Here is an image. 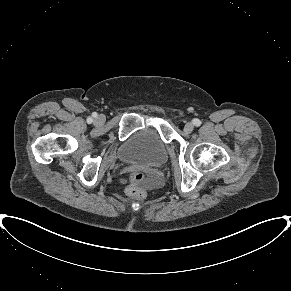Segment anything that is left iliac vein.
<instances>
[{
	"instance_id": "1",
	"label": "left iliac vein",
	"mask_w": 291,
	"mask_h": 291,
	"mask_svg": "<svg viewBox=\"0 0 291 291\" xmlns=\"http://www.w3.org/2000/svg\"><path fill=\"white\" fill-rule=\"evenodd\" d=\"M194 129V125L192 123H186L184 126L185 133H191Z\"/></svg>"
}]
</instances>
